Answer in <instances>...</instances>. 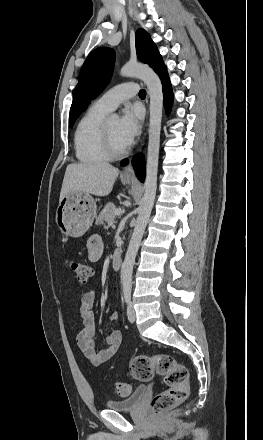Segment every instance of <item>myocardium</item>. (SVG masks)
<instances>
[{
  "label": "myocardium",
  "instance_id": "myocardium-1",
  "mask_svg": "<svg viewBox=\"0 0 263 440\" xmlns=\"http://www.w3.org/2000/svg\"><path fill=\"white\" fill-rule=\"evenodd\" d=\"M100 136L103 150L109 158H119L128 152V147L122 150H116L113 147L109 135L108 118H105L101 124Z\"/></svg>",
  "mask_w": 263,
  "mask_h": 440
}]
</instances>
